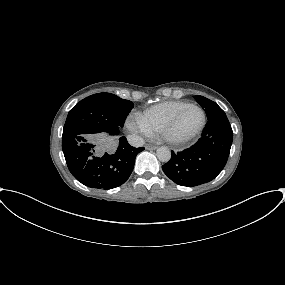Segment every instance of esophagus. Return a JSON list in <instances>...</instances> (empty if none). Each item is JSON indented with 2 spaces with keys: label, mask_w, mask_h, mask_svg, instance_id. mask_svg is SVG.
I'll use <instances>...</instances> for the list:
<instances>
[{
  "label": "esophagus",
  "mask_w": 285,
  "mask_h": 285,
  "mask_svg": "<svg viewBox=\"0 0 285 285\" xmlns=\"http://www.w3.org/2000/svg\"><path fill=\"white\" fill-rule=\"evenodd\" d=\"M145 148L147 150H155L157 148V146H155V145H147Z\"/></svg>",
  "instance_id": "obj_1"
}]
</instances>
